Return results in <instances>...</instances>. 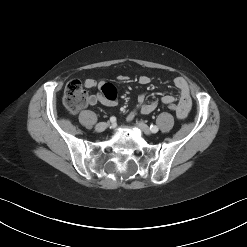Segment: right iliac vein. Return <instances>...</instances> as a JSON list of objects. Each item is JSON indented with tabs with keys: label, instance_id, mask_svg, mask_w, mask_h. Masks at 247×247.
Returning a JSON list of instances; mask_svg holds the SVG:
<instances>
[{
	"label": "right iliac vein",
	"instance_id": "1",
	"mask_svg": "<svg viewBox=\"0 0 247 247\" xmlns=\"http://www.w3.org/2000/svg\"><path fill=\"white\" fill-rule=\"evenodd\" d=\"M108 127V123L100 122L95 126L96 132H103Z\"/></svg>",
	"mask_w": 247,
	"mask_h": 247
}]
</instances>
